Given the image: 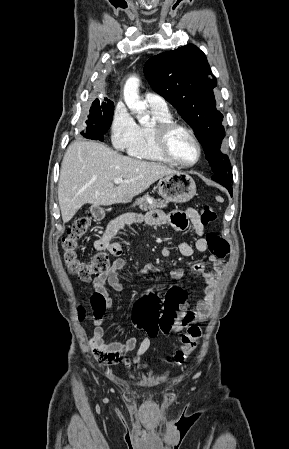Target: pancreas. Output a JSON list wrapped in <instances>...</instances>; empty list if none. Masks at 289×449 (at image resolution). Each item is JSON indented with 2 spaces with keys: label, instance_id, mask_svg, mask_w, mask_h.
Masks as SVG:
<instances>
[{
  "label": "pancreas",
  "instance_id": "pancreas-1",
  "mask_svg": "<svg viewBox=\"0 0 289 449\" xmlns=\"http://www.w3.org/2000/svg\"><path fill=\"white\" fill-rule=\"evenodd\" d=\"M168 205V201L164 200H156L149 195H144L141 198H138L132 207L139 206V208L143 211H147L155 208H166Z\"/></svg>",
  "mask_w": 289,
  "mask_h": 449
}]
</instances>
